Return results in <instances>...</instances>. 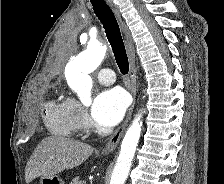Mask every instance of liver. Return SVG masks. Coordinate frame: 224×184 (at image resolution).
Returning <instances> with one entry per match:
<instances>
[{"instance_id": "liver-1", "label": "liver", "mask_w": 224, "mask_h": 184, "mask_svg": "<svg viewBox=\"0 0 224 184\" xmlns=\"http://www.w3.org/2000/svg\"><path fill=\"white\" fill-rule=\"evenodd\" d=\"M93 147L61 136H50L43 139L25 168V181L30 183L37 177H52L58 173L73 169L93 153Z\"/></svg>"}]
</instances>
